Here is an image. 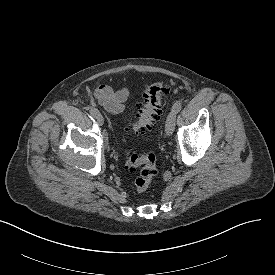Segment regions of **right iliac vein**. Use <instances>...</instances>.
<instances>
[{
	"label": "right iliac vein",
	"instance_id": "1",
	"mask_svg": "<svg viewBox=\"0 0 275 275\" xmlns=\"http://www.w3.org/2000/svg\"><path fill=\"white\" fill-rule=\"evenodd\" d=\"M99 125H102L104 123L103 117L98 111L96 116L94 117Z\"/></svg>",
	"mask_w": 275,
	"mask_h": 275
}]
</instances>
